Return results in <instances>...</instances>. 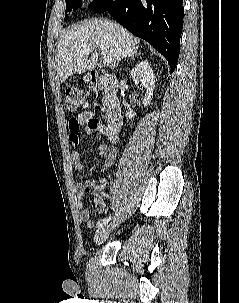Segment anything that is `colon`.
I'll return each instance as SVG.
<instances>
[{
    "label": "colon",
    "mask_w": 239,
    "mask_h": 303,
    "mask_svg": "<svg viewBox=\"0 0 239 303\" xmlns=\"http://www.w3.org/2000/svg\"><path fill=\"white\" fill-rule=\"evenodd\" d=\"M65 103L67 111L71 114L85 110L88 107V99L84 92L74 87L66 90ZM74 128H76V126H74ZM90 187L94 189L95 185L91 184Z\"/></svg>",
    "instance_id": "colon-1"
}]
</instances>
